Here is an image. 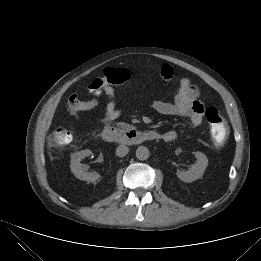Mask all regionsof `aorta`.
Returning a JSON list of instances; mask_svg holds the SVG:
<instances>
[{
  "label": "aorta",
  "instance_id": "1",
  "mask_svg": "<svg viewBox=\"0 0 261 261\" xmlns=\"http://www.w3.org/2000/svg\"><path fill=\"white\" fill-rule=\"evenodd\" d=\"M150 156L149 149L145 146H139L136 150V157L139 160H147Z\"/></svg>",
  "mask_w": 261,
  "mask_h": 261
}]
</instances>
